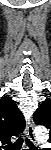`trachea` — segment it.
<instances>
[{
	"label": "trachea",
	"mask_w": 51,
	"mask_h": 150,
	"mask_svg": "<svg viewBox=\"0 0 51 150\" xmlns=\"http://www.w3.org/2000/svg\"><path fill=\"white\" fill-rule=\"evenodd\" d=\"M25 141L28 147L30 148V150H35L36 147L33 145V143L29 139L26 138ZM22 143H23V138L19 137L14 144L7 145L6 150H20Z\"/></svg>",
	"instance_id": "obj_1"
}]
</instances>
